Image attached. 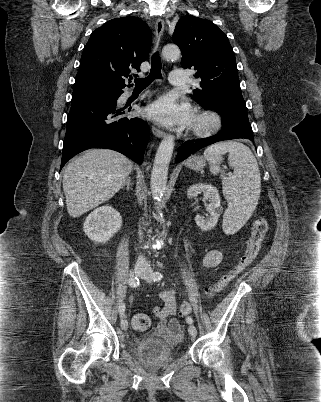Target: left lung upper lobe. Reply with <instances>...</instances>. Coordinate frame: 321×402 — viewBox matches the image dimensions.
Segmentation results:
<instances>
[{"mask_svg":"<svg viewBox=\"0 0 321 402\" xmlns=\"http://www.w3.org/2000/svg\"><path fill=\"white\" fill-rule=\"evenodd\" d=\"M172 40L182 52L183 68L197 70L200 78L194 100L205 109L225 102L244 101L241 94L235 54L223 31L212 22L195 16L179 19Z\"/></svg>","mask_w":321,"mask_h":402,"instance_id":"left-lung-upper-lobe-1","label":"left lung upper lobe"}]
</instances>
